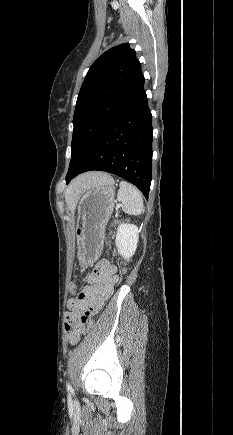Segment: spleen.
I'll return each mask as SVG.
<instances>
[{
	"label": "spleen",
	"instance_id": "3e777b00",
	"mask_svg": "<svg viewBox=\"0 0 233 435\" xmlns=\"http://www.w3.org/2000/svg\"><path fill=\"white\" fill-rule=\"evenodd\" d=\"M119 187L117 200L122 203L123 211L130 215H140L144 210L141 192L126 181L120 182Z\"/></svg>",
	"mask_w": 233,
	"mask_h": 435
}]
</instances>
